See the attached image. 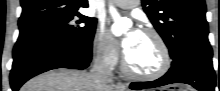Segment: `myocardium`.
<instances>
[{
  "label": "myocardium",
  "instance_id": "f54148a6",
  "mask_svg": "<svg viewBox=\"0 0 220 91\" xmlns=\"http://www.w3.org/2000/svg\"><path fill=\"white\" fill-rule=\"evenodd\" d=\"M141 32L151 36L155 40V42H156V44H157V46L160 50L161 64H160L159 68L154 72L139 73V72H136V71L132 70L129 67L126 56H125V54H123V56H122V69H123V72L128 77L136 79V80L151 81V80L159 79L168 72V70L170 69V66H171V55H170L169 48H168L164 38L155 29H153V28H143L141 30Z\"/></svg>",
  "mask_w": 220,
  "mask_h": 91
}]
</instances>
